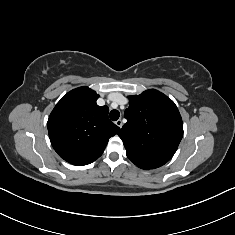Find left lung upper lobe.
<instances>
[{
    "mask_svg": "<svg viewBox=\"0 0 235 235\" xmlns=\"http://www.w3.org/2000/svg\"><path fill=\"white\" fill-rule=\"evenodd\" d=\"M119 137L127 157L142 169H155L168 162L183 136V123L175 103L151 89L129 97Z\"/></svg>",
    "mask_w": 235,
    "mask_h": 235,
    "instance_id": "left-lung-upper-lobe-1",
    "label": "left lung upper lobe"
}]
</instances>
